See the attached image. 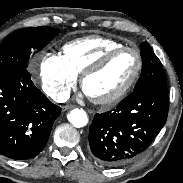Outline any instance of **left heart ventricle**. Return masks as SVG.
Wrapping results in <instances>:
<instances>
[{"label": "left heart ventricle", "instance_id": "left-heart-ventricle-1", "mask_svg": "<svg viewBox=\"0 0 183 183\" xmlns=\"http://www.w3.org/2000/svg\"><path fill=\"white\" fill-rule=\"evenodd\" d=\"M136 66L137 58L133 52H120L103 70L87 78L84 84L85 93L95 98H106L115 94L131 79Z\"/></svg>", "mask_w": 183, "mask_h": 183}]
</instances>
